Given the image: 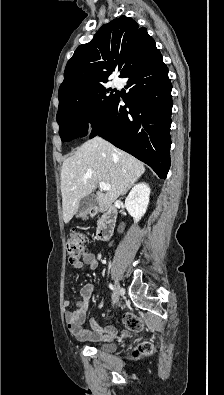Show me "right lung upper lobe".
<instances>
[{"mask_svg":"<svg viewBox=\"0 0 224 395\" xmlns=\"http://www.w3.org/2000/svg\"><path fill=\"white\" fill-rule=\"evenodd\" d=\"M146 28L121 16L103 25L86 44L80 45L68 61L59 88V105L66 99L107 82L115 68L122 77L131 65L155 48Z\"/></svg>","mask_w":224,"mask_h":395,"instance_id":"1","label":"right lung upper lobe"}]
</instances>
